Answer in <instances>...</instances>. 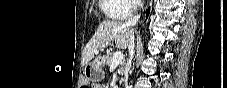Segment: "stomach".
Returning a JSON list of instances; mask_svg holds the SVG:
<instances>
[{"label": "stomach", "instance_id": "obj_1", "mask_svg": "<svg viewBox=\"0 0 227 88\" xmlns=\"http://www.w3.org/2000/svg\"><path fill=\"white\" fill-rule=\"evenodd\" d=\"M103 57H97L93 62L87 63L84 67V75L88 80L96 81L103 74Z\"/></svg>", "mask_w": 227, "mask_h": 88}]
</instances>
